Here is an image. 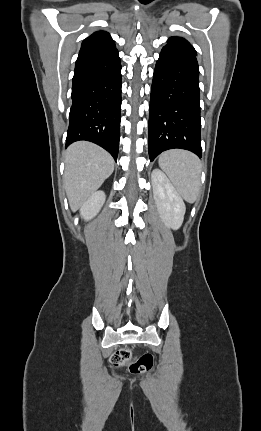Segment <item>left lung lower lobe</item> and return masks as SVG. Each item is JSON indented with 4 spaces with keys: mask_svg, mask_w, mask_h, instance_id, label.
I'll return each instance as SVG.
<instances>
[{
    "mask_svg": "<svg viewBox=\"0 0 261 431\" xmlns=\"http://www.w3.org/2000/svg\"><path fill=\"white\" fill-rule=\"evenodd\" d=\"M150 161L180 148L202 157L199 68L195 54L166 45L157 60L150 96Z\"/></svg>",
    "mask_w": 261,
    "mask_h": 431,
    "instance_id": "obj_1",
    "label": "left lung lower lobe"
}]
</instances>
